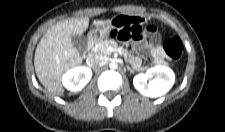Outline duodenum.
<instances>
[{"label":"duodenum","instance_id":"duodenum-1","mask_svg":"<svg viewBox=\"0 0 225 132\" xmlns=\"http://www.w3.org/2000/svg\"><path fill=\"white\" fill-rule=\"evenodd\" d=\"M94 39H89L88 40V44H87V50H88V52H90L91 50H92V48H93V45H94Z\"/></svg>","mask_w":225,"mask_h":132}]
</instances>
